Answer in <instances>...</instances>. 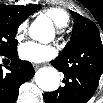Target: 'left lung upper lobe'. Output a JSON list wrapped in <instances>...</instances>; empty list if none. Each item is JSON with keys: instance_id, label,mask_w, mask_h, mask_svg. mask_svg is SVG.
Masks as SVG:
<instances>
[{"instance_id": "5c2ea615", "label": "left lung upper lobe", "mask_w": 103, "mask_h": 103, "mask_svg": "<svg viewBox=\"0 0 103 103\" xmlns=\"http://www.w3.org/2000/svg\"><path fill=\"white\" fill-rule=\"evenodd\" d=\"M72 17L74 18V27L71 34L70 41L65 46L61 56L69 55L74 50L81 47L88 34H99L97 26L89 19L83 17L82 15L70 11ZM84 52V51H83ZM89 52H84V56H89Z\"/></svg>"}]
</instances>
